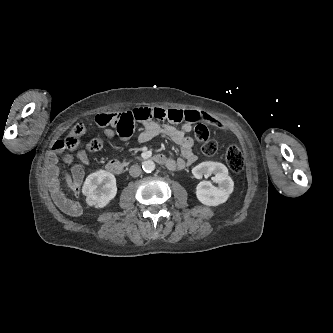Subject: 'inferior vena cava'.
<instances>
[{"instance_id": "602c4592", "label": "inferior vena cava", "mask_w": 333, "mask_h": 333, "mask_svg": "<svg viewBox=\"0 0 333 333\" xmlns=\"http://www.w3.org/2000/svg\"><path fill=\"white\" fill-rule=\"evenodd\" d=\"M129 173L132 177H138L142 173V169L139 165H133L130 167Z\"/></svg>"}]
</instances>
